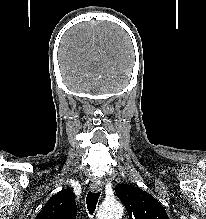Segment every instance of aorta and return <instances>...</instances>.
I'll return each instance as SVG.
<instances>
[{
	"label": "aorta",
	"instance_id": "1",
	"mask_svg": "<svg viewBox=\"0 0 206 219\" xmlns=\"http://www.w3.org/2000/svg\"><path fill=\"white\" fill-rule=\"evenodd\" d=\"M123 214V206L119 201L104 203L97 214L98 219H119Z\"/></svg>",
	"mask_w": 206,
	"mask_h": 219
}]
</instances>
